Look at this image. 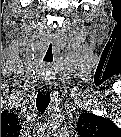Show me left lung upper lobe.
Returning <instances> with one entry per match:
<instances>
[{
	"mask_svg": "<svg viewBox=\"0 0 121 137\" xmlns=\"http://www.w3.org/2000/svg\"><path fill=\"white\" fill-rule=\"evenodd\" d=\"M77 129L82 136L121 137V130L111 120L89 112L81 114Z\"/></svg>",
	"mask_w": 121,
	"mask_h": 137,
	"instance_id": "left-lung-upper-lobe-1",
	"label": "left lung upper lobe"
}]
</instances>
